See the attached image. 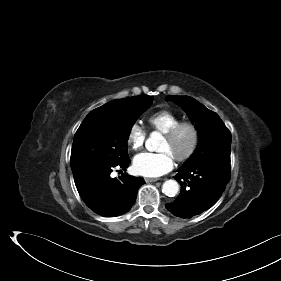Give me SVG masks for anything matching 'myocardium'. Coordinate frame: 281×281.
I'll return each mask as SVG.
<instances>
[{"label": "myocardium", "instance_id": "obj_1", "mask_svg": "<svg viewBox=\"0 0 281 281\" xmlns=\"http://www.w3.org/2000/svg\"><path fill=\"white\" fill-rule=\"evenodd\" d=\"M185 129H187L191 132L192 142H191L190 147L184 154L175 157L176 161H178V162H185V161L189 160L190 158H192L193 155L196 153L198 146H199V142H200L199 130L193 122L180 121L179 123L174 125L171 129H169L166 133H164V137L167 140L173 141Z\"/></svg>", "mask_w": 281, "mask_h": 281}]
</instances>
